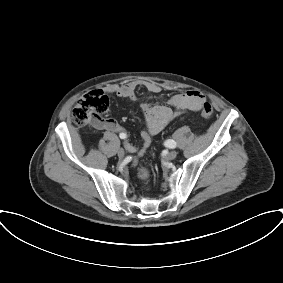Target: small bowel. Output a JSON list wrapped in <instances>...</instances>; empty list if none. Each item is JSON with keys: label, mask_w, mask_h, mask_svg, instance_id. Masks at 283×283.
Here are the masks:
<instances>
[{"label": "small bowel", "mask_w": 283, "mask_h": 283, "mask_svg": "<svg viewBox=\"0 0 283 283\" xmlns=\"http://www.w3.org/2000/svg\"><path fill=\"white\" fill-rule=\"evenodd\" d=\"M138 88L144 89L150 95L157 94L162 89L156 82H129L124 85H108L100 91L105 94H115L120 98L135 101L137 99L136 90ZM205 100L206 98L201 92L197 90H189L170 97L169 104L172 108L161 104H150L148 102L141 103L140 107L146 122V128L142 132L143 145L139 149L126 142V149L129 152H138V154L141 155L151 144L153 135L159 133L176 116L187 111L198 110ZM100 127L110 132H125L123 127L113 119L105 120Z\"/></svg>", "instance_id": "1"}]
</instances>
